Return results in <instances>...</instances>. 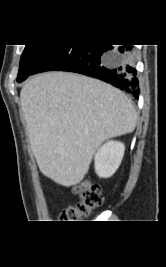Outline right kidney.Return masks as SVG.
<instances>
[{
    "instance_id": "obj_1",
    "label": "right kidney",
    "mask_w": 166,
    "mask_h": 267,
    "mask_svg": "<svg viewBox=\"0 0 166 267\" xmlns=\"http://www.w3.org/2000/svg\"><path fill=\"white\" fill-rule=\"evenodd\" d=\"M125 146L121 142L109 141L98 149L95 155V171L98 176H112L121 164Z\"/></svg>"
}]
</instances>
